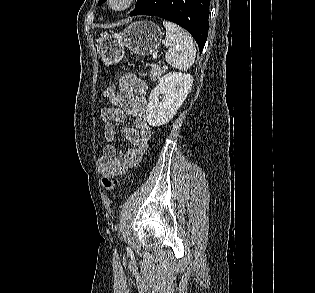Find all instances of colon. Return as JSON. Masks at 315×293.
Wrapping results in <instances>:
<instances>
[{
    "mask_svg": "<svg viewBox=\"0 0 315 293\" xmlns=\"http://www.w3.org/2000/svg\"><path fill=\"white\" fill-rule=\"evenodd\" d=\"M113 83H116V80H113ZM116 91L115 85H110L103 91V96L108 98L113 92ZM102 184L105 190L107 191H113L118 186V180L112 177H105L102 180Z\"/></svg>",
    "mask_w": 315,
    "mask_h": 293,
    "instance_id": "1",
    "label": "colon"
}]
</instances>
